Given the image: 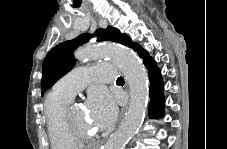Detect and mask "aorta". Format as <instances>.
Segmentation results:
<instances>
[{
	"label": "aorta",
	"mask_w": 227,
	"mask_h": 149,
	"mask_svg": "<svg viewBox=\"0 0 227 149\" xmlns=\"http://www.w3.org/2000/svg\"><path fill=\"white\" fill-rule=\"evenodd\" d=\"M79 61H93L108 57L123 72L130 87L128 111L104 149H124L142 124L148 101V75L137 56L128 48L107 44L84 47L75 54Z\"/></svg>",
	"instance_id": "aorta-1"
}]
</instances>
